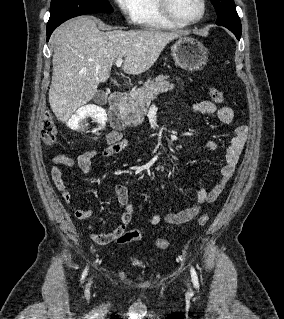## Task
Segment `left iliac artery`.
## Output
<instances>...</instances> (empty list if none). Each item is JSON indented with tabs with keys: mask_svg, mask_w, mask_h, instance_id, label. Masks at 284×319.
<instances>
[{
	"mask_svg": "<svg viewBox=\"0 0 284 319\" xmlns=\"http://www.w3.org/2000/svg\"><path fill=\"white\" fill-rule=\"evenodd\" d=\"M190 271H191V278H192V282H193L194 286L196 288H199L198 276H197L195 269L193 267H191Z\"/></svg>",
	"mask_w": 284,
	"mask_h": 319,
	"instance_id": "1",
	"label": "left iliac artery"
}]
</instances>
